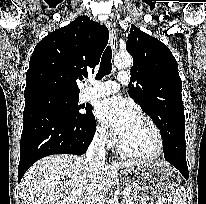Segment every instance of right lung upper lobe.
<instances>
[{
  "label": "right lung upper lobe",
  "mask_w": 206,
  "mask_h": 204,
  "mask_svg": "<svg viewBox=\"0 0 206 204\" xmlns=\"http://www.w3.org/2000/svg\"><path fill=\"white\" fill-rule=\"evenodd\" d=\"M108 39L107 27L87 16H79L48 34L30 58L24 97L42 93L79 95L76 80L94 72Z\"/></svg>",
  "instance_id": "cb5924a9"
}]
</instances>
